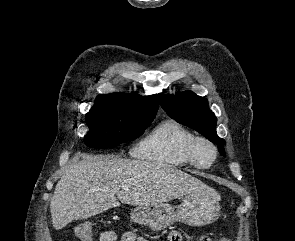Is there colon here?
<instances>
[{
	"instance_id": "5ec220e1",
	"label": "colon",
	"mask_w": 295,
	"mask_h": 241,
	"mask_svg": "<svg viewBox=\"0 0 295 241\" xmlns=\"http://www.w3.org/2000/svg\"><path fill=\"white\" fill-rule=\"evenodd\" d=\"M81 238L83 241H92V226H87L81 233ZM173 241H182L181 234H177L174 236ZM218 241H231L226 238H220Z\"/></svg>"
}]
</instances>
